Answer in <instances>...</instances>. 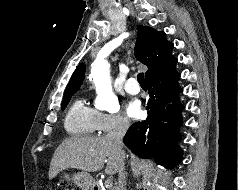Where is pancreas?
Returning a JSON list of instances; mask_svg holds the SVG:
<instances>
[{
	"mask_svg": "<svg viewBox=\"0 0 238 190\" xmlns=\"http://www.w3.org/2000/svg\"><path fill=\"white\" fill-rule=\"evenodd\" d=\"M103 190H114V188L111 186V187H106L105 189Z\"/></svg>",
	"mask_w": 238,
	"mask_h": 190,
	"instance_id": "cf45deb5",
	"label": "pancreas"
}]
</instances>
